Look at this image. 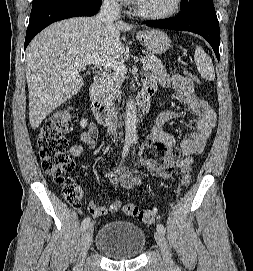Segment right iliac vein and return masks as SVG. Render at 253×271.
Returning a JSON list of instances; mask_svg holds the SVG:
<instances>
[{"label": "right iliac vein", "instance_id": "1", "mask_svg": "<svg viewBox=\"0 0 253 271\" xmlns=\"http://www.w3.org/2000/svg\"><path fill=\"white\" fill-rule=\"evenodd\" d=\"M92 236H93V225L90 224L84 229L81 236L76 271H82L84 259L92 242Z\"/></svg>", "mask_w": 253, "mask_h": 271}]
</instances>
